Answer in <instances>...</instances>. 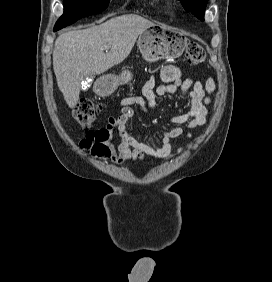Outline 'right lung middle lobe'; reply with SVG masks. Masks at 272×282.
I'll return each instance as SVG.
<instances>
[{
  "instance_id": "right-lung-middle-lobe-1",
  "label": "right lung middle lobe",
  "mask_w": 272,
  "mask_h": 282,
  "mask_svg": "<svg viewBox=\"0 0 272 282\" xmlns=\"http://www.w3.org/2000/svg\"><path fill=\"white\" fill-rule=\"evenodd\" d=\"M110 0H64V13L54 28L66 27L82 17L105 10Z\"/></svg>"
}]
</instances>
